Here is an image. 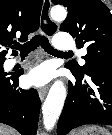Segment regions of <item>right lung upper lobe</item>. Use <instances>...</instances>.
Masks as SVG:
<instances>
[{
  "instance_id": "obj_1",
  "label": "right lung upper lobe",
  "mask_w": 112,
  "mask_h": 135,
  "mask_svg": "<svg viewBox=\"0 0 112 135\" xmlns=\"http://www.w3.org/2000/svg\"><path fill=\"white\" fill-rule=\"evenodd\" d=\"M43 0H0V62L16 34L21 40L39 28Z\"/></svg>"
}]
</instances>
